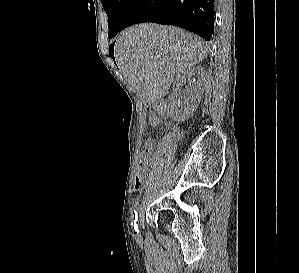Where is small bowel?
<instances>
[{"label":"small bowel","instance_id":"1","mask_svg":"<svg viewBox=\"0 0 299 273\" xmlns=\"http://www.w3.org/2000/svg\"><path fill=\"white\" fill-rule=\"evenodd\" d=\"M150 123L151 125L155 126L158 121H159V117L156 113H151L150 114ZM151 161V152L149 153H145L144 151L142 152V162L145 164V166ZM146 182V176L142 177L139 181H137V179H134V188L136 190L140 189L143 187V185Z\"/></svg>","mask_w":299,"mask_h":273}]
</instances>
